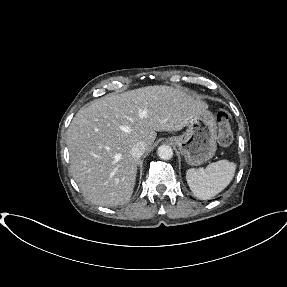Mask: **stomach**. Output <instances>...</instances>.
<instances>
[{"label":"stomach","instance_id":"1","mask_svg":"<svg viewBox=\"0 0 287 287\" xmlns=\"http://www.w3.org/2000/svg\"><path fill=\"white\" fill-rule=\"evenodd\" d=\"M217 125L213 114L206 110L197 113L187 124L186 131L173 136L169 141L178 147L186 162L191 166L210 160L216 152Z\"/></svg>","mask_w":287,"mask_h":287}]
</instances>
